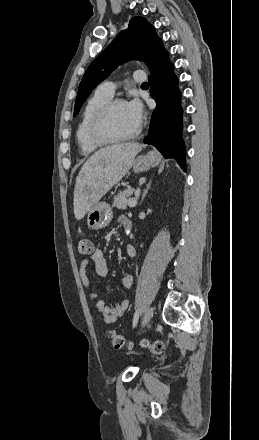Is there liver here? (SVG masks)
Returning a JSON list of instances; mask_svg holds the SVG:
<instances>
[{
  "mask_svg": "<svg viewBox=\"0 0 259 440\" xmlns=\"http://www.w3.org/2000/svg\"><path fill=\"white\" fill-rule=\"evenodd\" d=\"M139 143L112 145L95 152L82 166L74 188V215L81 220L86 213L129 171Z\"/></svg>",
  "mask_w": 259,
  "mask_h": 440,
  "instance_id": "liver-1",
  "label": "liver"
}]
</instances>
